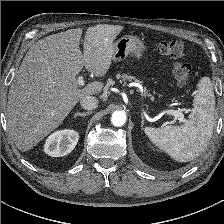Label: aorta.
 <instances>
[{
    "mask_svg": "<svg viewBox=\"0 0 224 224\" xmlns=\"http://www.w3.org/2000/svg\"><path fill=\"white\" fill-rule=\"evenodd\" d=\"M111 122L114 126H123L126 122V114L124 111H115L111 116Z\"/></svg>",
    "mask_w": 224,
    "mask_h": 224,
    "instance_id": "762f6f07",
    "label": "aorta"
}]
</instances>
